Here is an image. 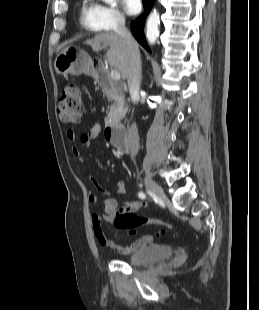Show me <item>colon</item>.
Returning a JSON list of instances; mask_svg holds the SVG:
<instances>
[{
    "label": "colon",
    "instance_id": "5ec220e1",
    "mask_svg": "<svg viewBox=\"0 0 259 310\" xmlns=\"http://www.w3.org/2000/svg\"><path fill=\"white\" fill-rule=\"evenodd\" d=\"M57 112L63 122L75 123L80 121L83 114V102L77 85L67 84L63 88L58 100ZM147 224L167 229L173 227L166 220L139 216L132 211L121 212L114 218V227L117 230L127 231L129 234H135L139 227ZM158 234L163 235L164 231L160 230Z\"/></svg>",
    "mask_w": 259,
    "mask_h": 310
}]
</instances>
